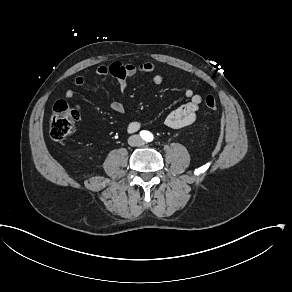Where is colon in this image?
<instances>
[{
    "mask_svg": "<svg viewBox=\"0 0 292 292\" xmlns=\"http://www.w3.org/2000/svg\"><path fill=\"white\" fill-rule=\"evenodd\" d=\"M204 107L209 111L218 108V101L214 96H207ZM81 109L64 100H58L52 108L50 120V135L56 143L63 142L72 132L74 125L80 120Z\"/></svg>",
    "mask_w": 292,
    "mask_h": 292,
    "instance_id": "1",
    "label": "colon"
}]
</instances>
